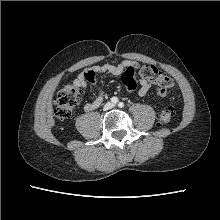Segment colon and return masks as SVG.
Returning a JSON list of instances; mask_svg holds the SVG:
<instances>
[{"mask_svg": "<svg viewBox=\"0 0 220 220\" xmlns=\"http://www.w3.org/2000/svg\"><path fill=\"white\" fill-rule=\"evenodd\" d=\"M138 77L153 84L160 96L168 95L173 86V80L170 76L150 64L128 67L123 73L121 80L126 89L135 90L137 87ZM81 93V88L72 84L65 85L59 91L55 100V116L57 119L65 120L72 115L79 102ZM173 116L174 109L167 108L159 114L158 121L162 125H167L170 123Z\"/></svg>", "mask_w": 220, "mask_h": 220, "instance_id": "5ec220e1", "label": "colon"}]
</instances>
